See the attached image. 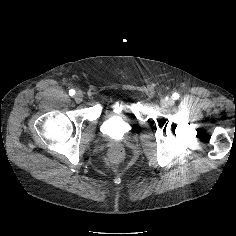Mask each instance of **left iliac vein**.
Masks as SVG:
<instances>
[{"label": "left iliac vein", "mask_w": 236, "mask_h": 236, "mask_svg": "<svg viewBox=\"0 0 236 236\" xmlns=\"http://www.w3.org/2000/svg\"><path fill=\"white\" fill-rule=\"evenodd\" d=\"M173 103H174V100L171 99V98H163L161 100V105L164 106V107L171 106V105H173Z\"/></svg>", "instance_id": "left-iliac-vein-1"}]
</instances>
